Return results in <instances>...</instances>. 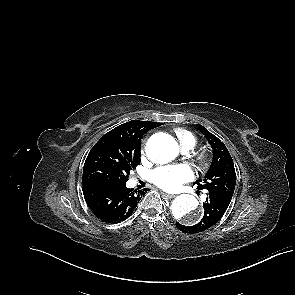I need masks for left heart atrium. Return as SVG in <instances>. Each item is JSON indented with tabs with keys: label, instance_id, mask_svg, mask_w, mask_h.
Masks as SVG:
<instances>
[{
	"label": "left heart atrium",
	"instance_id": "obj_1",
	"mask_svg": "<svg viewBox=\"0 0 295 295\" xmlns=\"http://www.w3.org/2000/svg\"><path fill=\"white\" fill-rule=\"evenodd\" d=\"M194 173L187 164L159 167L151 173V181L166 191H176L192 180Z\"/></svg>",
	"mask_w": 295,
	"mask_h": 295
}]
</instances>
